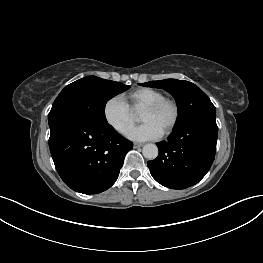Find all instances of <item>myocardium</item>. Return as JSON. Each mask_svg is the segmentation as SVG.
Masks as SVG:
<instances>
[{
	"instance_id": "f54148a6",
	"label": "myocardium",
	"mask_w": 263,
	"mask_h": 263,
	"mask_svg": "<svg viewBox=\"0 0 263 263\" xmlns=\"http://www.w3.org/2000/svg\"><path fill=\"white\" fill-rule=\"evenodd\" d=\"M164 107H169L172 111L171 119L169 120V122L163 130L165 134H169L173 131L179 120L180 108L178 103L174 99L164 97L146 105L144 109L157 111Z\"/></svg>"
}]
</instances>
